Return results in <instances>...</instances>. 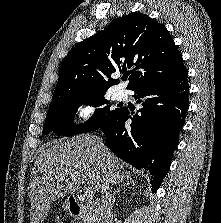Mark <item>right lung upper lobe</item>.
Returning <instances> with one entry per match:
<instances>
[{"instance_id":"1","label":"right lung upper lobe","mask_w":221,"mask_h":223,"mask_svg":"<svg viewBox=\"0 0 221 223\" xmlns=\"http://www.w3.org/2000/svg\"><path fill=\"white\" fill-rule=\"evenodd\" d=\"M130 71L127 89L168 79L185 66L164 25L139 12L114 20L77 44L64 58L52 102L66 97L103 93L119 80L117 69Z\"/></svg>"}]
</instances>
